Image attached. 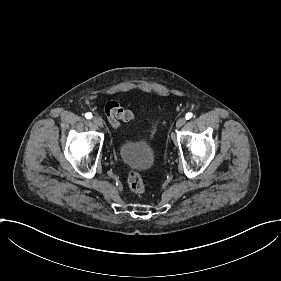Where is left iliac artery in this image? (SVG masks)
Masks as SVG:
<instances>
[{
  "instance_id": "left-iliac-artery-1",
  "label": "left iliac artery",
  "mask_w": 281,
  "mask_h": 281,
  "mask_svg": "<svg viewBox=\"0 0 281 281\" xmlns=\"http://www.w3.org/2000/svg\"><path fill=\"white\" fill-rule=\"evenodd\" d=\"M193 114L192 113H187L186 114V120H189L190 118H192Z\"/></svg>"
}]
</instances>
